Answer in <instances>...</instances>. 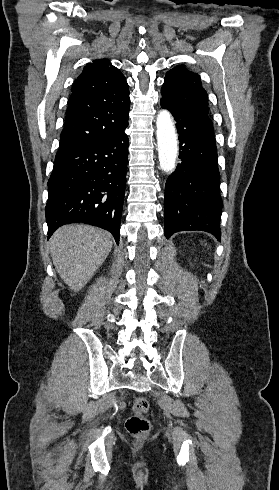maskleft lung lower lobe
<instances>
[{
    "label": "left lung lower lobe",
    "instance_id": "1",
    "mask_svg": "<svg viewBox=\"0 0 279 490\" xmlns=\"http://www.w3.org/2000/svg\"><path fill=\"white\" fill-rule=\"evenodd\" d=\"M171 111L180 141V163L165 185V235L201 230L221 237L222 199L213 125L200 116L161 99Z\"/></svg>",
    "mask_w": 279,
    "mask_h": 490
}]
</instances>
